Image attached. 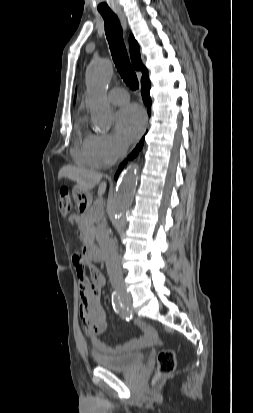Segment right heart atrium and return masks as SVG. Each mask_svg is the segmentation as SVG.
I'll return each instance as SVG.
<instances>
[{"instance_id":"1","label":"right heart atrium","mask_w":253,"mask_h":413,"mask_svg":"<svg viewBox=\"0 0 253 413\" xmlns=\"http://www.w3.org/2000/svg\"><path fill=\"white\" fill-rule=\"evenodd\" d=\"M95 150L102 164L109 165L119 159L125 147L111 134H96L93 137Z\"/></svg>"}]
</instances>
